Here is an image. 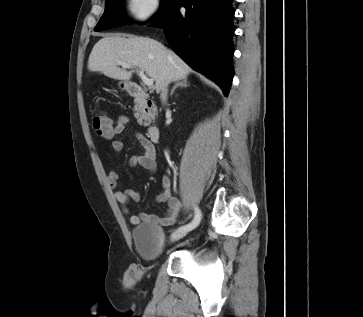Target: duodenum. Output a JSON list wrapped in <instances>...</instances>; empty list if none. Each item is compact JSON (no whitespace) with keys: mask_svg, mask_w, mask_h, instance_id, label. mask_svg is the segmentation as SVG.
I'll return each instance as SVG.
<instances>
[{"mask_svg":"<svg viewBox=\"0 0 363 317\" xmlns=\"http://www.w3.org/2000/svg\"><path fill=\"white\" fill-rule=\"evenodd\" d=\"M128 92L130 96L136 98L137 100L145 103L148 107L152 105L151 100L149 99L148 93L139 85L135 83L128 84ZM148 134L152 142H158L160 140V129L156 125L148 126Z\"/></svg>","mask_w":363,"mask_h":317,"instance_id":"obj_1","label":"duodenum"}]
</instances>
